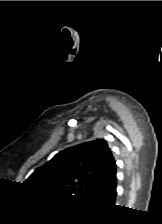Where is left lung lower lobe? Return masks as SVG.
Here are the masks:
<instances>
[{"mask_svg": "<svg viewBox=\"0 0 162 224\" xmlns=\"http://www.w3.org/2000/svg\"><path fill=\"white\" fill-rule=\"evenodd\" d=\"M116 196V171L111 174L102 186L92 192L87 199L94 202L113 205Z\"/></svg>", "mask_w": 162, "mask_h": 224, "instance_id": "1", "label": "left lung lower lobe"}]
</instances>
